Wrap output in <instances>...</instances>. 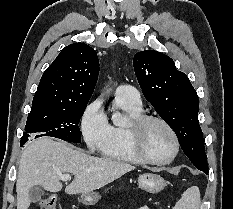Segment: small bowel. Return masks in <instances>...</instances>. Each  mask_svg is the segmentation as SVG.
<instances>
[{
	"label": "small bowel",
	"instance_id": "obj_1",
	"mask_svg": "<svg viewBox=\"0 0 233 209\" xmlns=\"http://www.w3.org/2000/svg\"><path fill=\"white\" fill-rule=\"evenodd\" d=\"M138 209H150L148 206H143V207H140Z\"/></svg>",
	"mask_w": 233,
	"mask_h": 209
}]
</instances>
